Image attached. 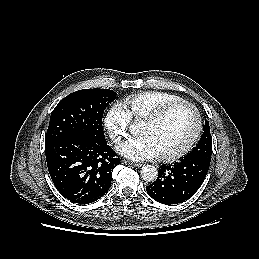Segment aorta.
Wrapping results in <instances>:
<instances>
[{"instance_id":"762f6f07","label":"aorta","mask_w":259,"mask_h":259,"mask_svg":"<svg viewBox=\"0 0 259 259\" xmlns=\"http://www.w3.org/2000/svg\"><path fill=\"white\" fill-rule=\"evenodd\" d=\"M141 178L145 181H153L157 178L158 171L153 165H144L140 170Z\"/></svg>"}]
</instances>
